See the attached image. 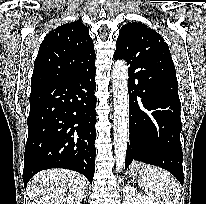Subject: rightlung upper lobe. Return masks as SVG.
<instances>
[{
	"label": "right lung upper lobe",
	"mask_w": 206,
	"mask_h": 204,
	"mask_svg": "<svg viewBox=\"0 0 206 204\" xmlns=\"http://www.w3.org/2000/svg\"><path fill=\"white\" fill-rule=\"evenodd\" d=\"M95 65L88 28L81 22L63 24L41 43L34 63L31 89L73 78Z\"/></svg>",
	"instance_id": "1"
}]
</instances>
